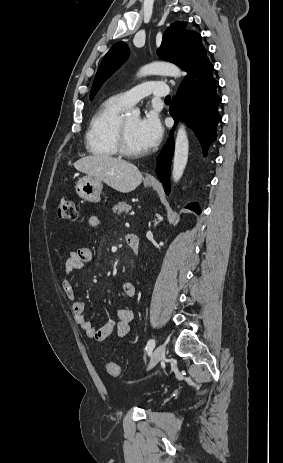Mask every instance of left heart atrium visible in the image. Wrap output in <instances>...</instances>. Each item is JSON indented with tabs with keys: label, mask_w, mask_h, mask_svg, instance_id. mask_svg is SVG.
Returning <instances> with one entry per match:
<instances>
[{
	"label": "left heart atrium",
	"mask_w": 283,
	"mask_h": 463,
	"mask_svg": "<svg viewBox=\"0 0 283 463\" xmlns=\"http://www.w3.org/2000/svg\"><path fill=\"white\" fill-rule=\"evenodd\" d=\"M162 134V125L154 113H149L139 120L137 136L144 150L155 148L159 144Z\"/></svg>",
	"instance_id": "1"
}]
</instances>
